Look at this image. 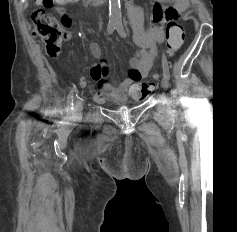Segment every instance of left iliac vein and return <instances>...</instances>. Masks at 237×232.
<instances>
[{
  "instance_id": "obj_1",
  "label": "left iliac vein",
  "mask_w": 237,
  "mask_h": 232,
  "mask_svg": "<svg viewBox=\"0 0 237 232\" xmlns=\"http://www.w3.org/2000/svg\"><path fill=\"white\" fill-rule=\"evenodd\" d=\"M161 84L164 89H167L169 87V79L166 76H163Z\"/></svg>"
}]
</instances>
